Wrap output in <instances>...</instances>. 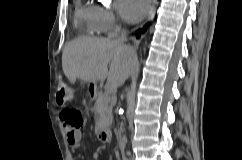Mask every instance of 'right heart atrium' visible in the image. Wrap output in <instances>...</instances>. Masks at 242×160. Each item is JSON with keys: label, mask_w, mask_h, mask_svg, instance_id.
I'll list each match as a JSON object with an SVG mask.
<instances>
[{"label": "right heart atrium", "mask_w": 242, "mask_h": 160, "mask_svg": "<svg viewBox=\"0 0 242 160\" xmlns=\"http://www.w3.org/2000/svg\"><path fill=\"white\" fill-rule=\"evenodd\" d=\"M96 10L101 32L111 34L118 26L115 14L105 6H97Z\"/></svg>", "instance_id": "obj_1"}]
</instances>
